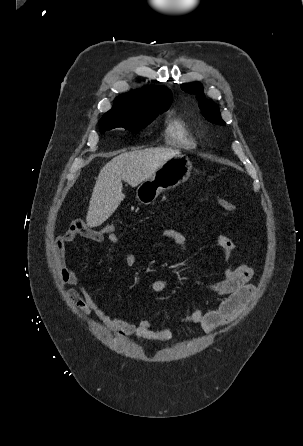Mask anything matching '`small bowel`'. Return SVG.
<instances>
[{
	"label": "small bowel",
	"instance_id": "small-bowel-1",
	"mask_svg": "<svg viewBox=\"0 0 303 446\" xmlns=\"http://www.w3.org/2000/svg\"><path fill=\"white\" fill-rule=\"evenodd\" d=\"M161 235L172 241L181 251H184L189 243V237L173 228H165ZM85 237L102 244L105 241L118 245L120 240L117 235L105 236L101 230L89 229L81 220H75L67 229L58 235L54 241V257L56 266L64 285L72 286L67 290L70 300L84 315L93 314L102 320L110 329L117 332L118 336L136 337L142 340L166 342L171 339L172 331L167 327H158L152 323L150 316L141 318L137 323L125 321L105 311L103 306L96 302L89 290L82 283L75 271L67 263L68 246L77 237ZM217 243L222 251L224 262L223 277L216 282H206L201 278H194L195 282L213 292L219 302L216 307L209 309H197L189 315L176 318L180 325H200L203 331L211 333L231 322L248 303L254 293V286L250 283L253 271L247 265L234 266L230 263L237 248V243L226 234H219ZM125 264L132 268L137 261L130 252H124ZM170 283L164 279H158L151 283V291L161 293L169 287Z\"/></svg>",
	"mask_w": 303,
	"mask_h": 446
}]
</instances>
